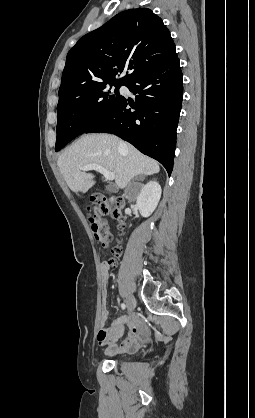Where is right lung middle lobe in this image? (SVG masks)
<instances>
[{
    "label": "right lung middle lobe",
    "instance_id": "dd1d6c3e",
    "mask_svg": "<svg viewBox=\"0 0 255 418\" xmlns=\"http://www.w3.org/2000/svg\"><path fill=\"white\" fill-rule=\"evenodd\" d=\"M119 82H103L59 94L55 151L105 118L120 99ZM111 86L117 87L114 91Z\"/></svg>",
    "mask_w": 255,
    "mask_h": 418
}]
</instances>
